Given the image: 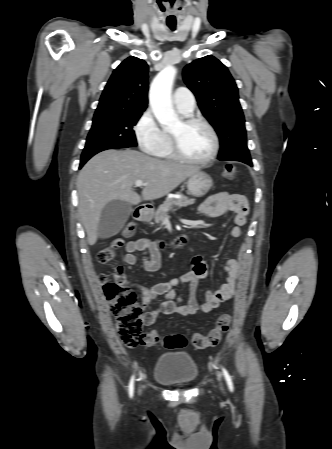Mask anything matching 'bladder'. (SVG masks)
<instances>
[{"label": "bladder", "instance_id": "obj_1", "mask_svg": "<svg viewBox=\"0 0 332 449\" xmlns=\"http://www.w3.org/2000/svg\"><path fill=\"white\" fill-rule=\"evenodd\" d=\"M199 374L197 362L188 352L161 354L155 364V381L167 386H181L193 383Z\"/></svg>", "mask_w": 332, "mask_h": 449}]
</instances>
